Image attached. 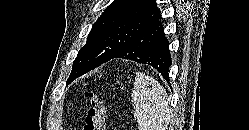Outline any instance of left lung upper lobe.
Masks as SVG:
<instances>
[{"label":"left lung upper lobe","mask_w":249,"mask_h":130,"mask_svg":"<svg viewBox=\"0 0 249 130\" xmlns=\"http://www.w3.org/2000/svg\"><path fill=\"white\" fill-rule=\"evenodd\" d=\"M159 18L155 0H114L94 23L66 84L112 59Z\"/></svg>","instance_id":"obj_1"}]
</instances>
